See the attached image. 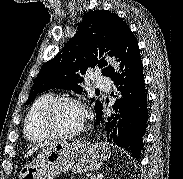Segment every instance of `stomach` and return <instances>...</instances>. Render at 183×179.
<instances>
[{"label":"stomach","instance_id":"stomach-1","mask_svg":"<svg viewBox=\"0 0 183 179\" xmlns=\"http://www.w3.org/2000/svg\"><path fill=\"white\" fill-rule=\"evenodd\" d=\"M109 157L110 151L104 143L53 141L22 168L19 179H54L66 171L76 174L94 171Z\"/></svg>","mask_w":183,"mask_h":179}]
</instances>
